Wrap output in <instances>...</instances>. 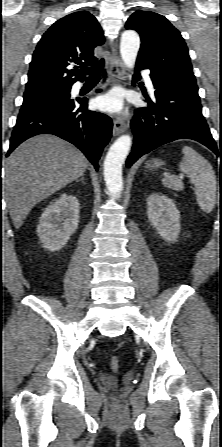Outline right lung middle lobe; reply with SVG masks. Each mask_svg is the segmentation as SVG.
Segmentation results:
<instances>
[{"label":"right lung middle lobe","mask_w":222,"mask_h":447,"mask_svg":"<svg viewBox=\"0 0 222 447\" xmlns=\"http://www.w3.org/2000/svg\"><path fill=\"white\" fill-rule=\"evenodd\" d=\"M23 98L24 100L19 114H26L48 107L50 105L64 102L70 99V89L33 95H24Z\"/></svg>","instance_id":"obj_1"}]
</instances>
